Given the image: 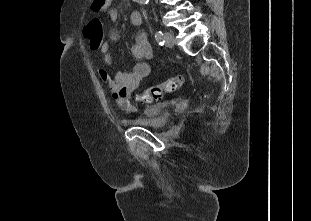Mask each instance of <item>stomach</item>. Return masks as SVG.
<instances>
[{
    "mask_svg": "<svg viewBox=\"0 0 311 221\" xmlns=\"http://www.w3.org/2000/svg\"><path fill=\"white\" fill-rule=\"evenodd\" d=\"M110 0H95L94 4H97L98 10H104V8H107Z\"/></svg>",
    "mask_w": 311,
    "mask_h": 221,
    "instance_id": "0dacf381",
    "label": "stomach"
}]
</instances>
